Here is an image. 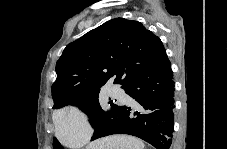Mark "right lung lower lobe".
I'll list each match as a JSON object with an SVG mask.
<instances>
[{
	"mask_svg": "<svg viewBox=\"0 0 227 149\" xmlns=\"http://www.w3.org/2000/svg\"><path fill=\"white\" fill-rule=\"evenodd\" d=\"M123 89L137 107L120 106L95 128L91 140L113 134L137 136L157 149H169L174 130V83L168 58Z\"/></svg>",
	"mask_w": 227,
	"mask_h": 149,
	"instance_id": "98d812e1",
	"label": "right lung lower lobe"
}]
</instances>
